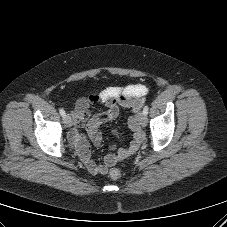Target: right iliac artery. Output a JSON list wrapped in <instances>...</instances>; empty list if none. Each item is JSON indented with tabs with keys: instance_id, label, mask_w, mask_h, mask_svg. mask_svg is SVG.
Returning <instances> with one entry per match:
<instances>
[{
	"instance_id": "right-iliac-artery-1",
	"label": "right iliac artery",
	"mask_w": 227,
	"mask_h": 227,
	"mask_svg": "<svg viewBox=\"0 0 227 227\" xmlns=\"http://www.w3.org/2000/svg\"><path fill=\"white\" fill-rule=\"evenodd\" d=\"M59 112H60L62 117H65L66 113H65V111L62 108L59 110Z\"/></svg>"
}]
</instances>
